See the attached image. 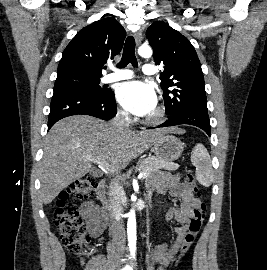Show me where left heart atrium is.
<instances>
[{
    "label": "left heart atrium",
    "instance_id": "39dd6f15",
    "mask_svg": "<svg viewBox=\"0 0 267 270\" xmlns=\"http://www.w3.org/2000/svg\"><path fill=\"white\" fill-rule=\"evenodd\" d=\"M116 97L121 106L138 116H147L154 112L157 96L154 90L141 81H130L118 86Z\"/></svg>",
    "mask_w": 267,
    "mask_h": 270
}]
</instances>
